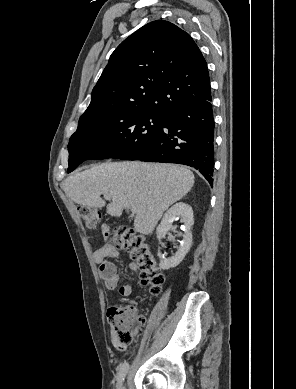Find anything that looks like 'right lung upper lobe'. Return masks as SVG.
<instances>
[{
  "mask_svg": "<svg viewBox=\"0 0 296 389\" xmlns=\"http://www.w3.org/2000/svg\"><path fill=\"white\" fill-rule=\"evenodd\" d=\"M210 96L207 63L191 36L156 20L115 49L80 118L116 108L168 115Z\"/></svg>",
  "mask_w": 296,
  "mask_h": 389,
  "instance_id": "cb5924a9",
  "label": "right lung upper lobe"
}]
</instances>
